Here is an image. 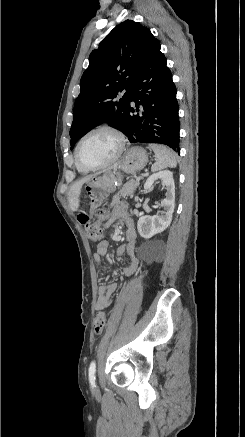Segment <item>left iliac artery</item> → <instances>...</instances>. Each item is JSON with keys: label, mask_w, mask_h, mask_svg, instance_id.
Listing matches in <instances>:
<instances>
[{"label": "left iliac artery", "mask_w": 245, "mask_h": 437, "mask_svg": "<svg viewBox=\"0 0 245 437\" xmlns=\"http://www.w3.org/2000/svg\"><path fill=\"white\" fill-rule=\"evenodd\" d=\"M95 372H96V363L92 361L89 366V383L92 387L95 386Z\"/></svg>", "instance_id": "obj_1"}]
</instances>
